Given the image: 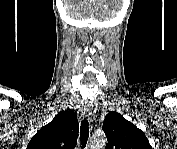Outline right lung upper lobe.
<instances>
[{"label": "right lung upper lobe", "mask_w": 177, "mask_h": 149, "mask_svg": "<svg viewBox=\"0 0 177 149\" xmlns=\"http://www.w3.org/2000/svg\"><path fill=\"white\" fill-rule=\"evenodd\" d=\"M78 121L73 110L59 112L32 137L28 149H73L77 144Z\"/></svg>", "instance_id": "obj_1"}]
</instances>
